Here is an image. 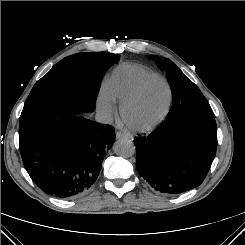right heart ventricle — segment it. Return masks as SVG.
<instances>
[{
	"mask_svg": "<svg viewBox=\"0 0 245 245\" xmlns=\"http://www.w3.org/2000/svg\"><path fill=\"white\" fill-rule=\"evenodd\" d=\"M158 74L138 64H123L116 67L109 79L108 89L115 100L122 103L147 79Z\"/></svg>",
	"mask_w": 245,
	"mask_h": 245,
	"instance_id": "e07e8e85",
	"label": "right heart ventricle"
}]
</instances>
